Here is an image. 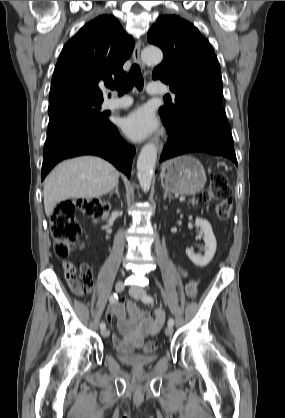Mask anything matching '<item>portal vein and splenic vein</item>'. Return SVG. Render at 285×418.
<instances>
[{
    "mask_svg": "<svg viewBox=\"0 0 285 418\" xmlns=\"http://www.w3.org/2000/svg\"><path fill=\"white\" fill-rule=\"evenodd\" d=\"M179 200H180V202H184L185 201V197L182 196V197L179 198Z\"/></svg>",
    "mask_w": 285,
    "mask_h": 418,
    "instance_id": "1",
    "label": "portal vein and splenic vein"
}]
</instances>
